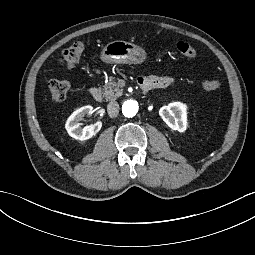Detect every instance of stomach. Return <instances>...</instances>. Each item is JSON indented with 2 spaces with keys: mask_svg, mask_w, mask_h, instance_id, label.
<instances>
[{
  "mask_svg": "<svg viewBox=\"0 0 255 255\" xmlns=\"http://www.w3.org/2000/svg\"><path fill=\"white\" fill-rule=\"evenodd\" d=\"M99 59L106 64H142L148 60V54L136 44L116 40L102 48Z\"/></svg>",
  "mask_w": 255,
  "mask_h": 255,
  "instance_id": "0dacf381",
  "label": "stomach"
}]
</instances>
